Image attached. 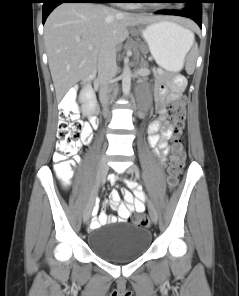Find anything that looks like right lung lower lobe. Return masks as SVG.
I'll use <instances>...</instances> for the list:
<instances>
[{"mask_svg": "<svg viewBox=\"0 0 239 296\" xmlns=\"http://www.w3.org/2000/svg\"><path fill=\"white\" fill-rule=\"evenodd\" d=\"M110 0H43V23L50 12L61 3H109Z\"/></svg>", "mask_w": 239, "mask_h": 296, "instance_id": "right-lung-lower-lobe-1", "label": "right lung lower lobe"}]
</instances>
